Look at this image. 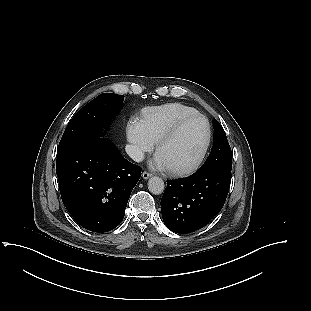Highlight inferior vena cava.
<instances>
[{
    "label": "inferior vena cava",
    "instance_id": "inferior-vena-cava-1",
    "mask_svg": "<svg viewBox=\"0 0 311 311\" xmlns=\"http://www.w3.org/2000/svg\"><path fill=\"white\" fill-rule=\"evenodd\" d=\"M125 151L129 155V157L136 162H141L144 160V153L139 147L135 145H126Z\"/></svg>",
    "mask_w": 311,
    "mask_h": 311
}]
</instances>
